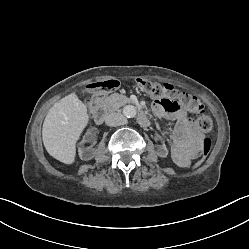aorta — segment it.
Returning <instances> with one entry per match:
<instances>
[{
    "instance_id": "762f6f07",
    "label": "aorta",
    "mask_w": 249,
    "mask_h": 249,
    "mask_svg": "<svg viewBox=\"0 0 249 249\" xmlns=\"http://www.w3.org/2000/svg\"><path fill=\"white\" fill-rule=\"evenodd\" d=\"M123 115L127 118H133L136 116V108L132 105H127L123 108Z\"/></svg>"
}]
</instances>
